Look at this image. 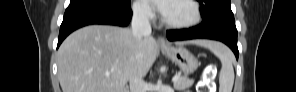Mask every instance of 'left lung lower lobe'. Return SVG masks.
<instances>
[{"instance_id": "1", "label": "left lung lower lobe", "mask_w": 296, "mask_h": 92, "mask_svg": "<svg viewBox=\"0 0 296 92\" xmlns=\"http://www.w3.org/2000/svg\"><path fill=\"white\" fill-rule=\"evenodd\" d=\"M170 41L189 40L197 38L218 40L228 45L238 59L237 29L234 19H224L208 29L199 26L182 30H169L166 32Z\"/></svg>"}]
</instances>
